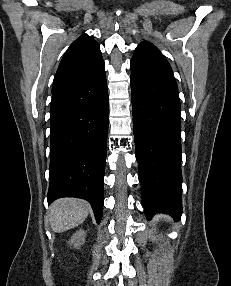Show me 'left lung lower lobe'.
<instances>
[{"label": "left lung lower lobe", "mask_w": 231, "mask_h": 286, "mask_svg": "<svg viewBox=\"0 0 231 286\" xmlns=\"http://www.w3.org/2000/svg\"><path fill=\"white\" fill-rule=\"evenodd\" d=\"M136 159L142 203L150 218L182 214L181 107L171 71L131 60Z\"/></svg>", "instance_id": "1"}]
</instances>
